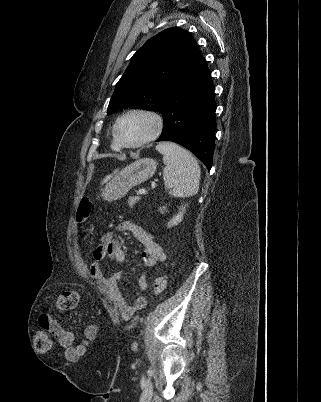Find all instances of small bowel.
<instances>
[{"label":"small bowel","mask_w":321,"mask_h":402,"mask_svg":"<svg viewBox=\"0 0 321 402\" xmlns=\"http://www.w3.org/2000/svg\"><path fill=\"white\" fill-rule=\"evenodd\" d=\"M118 230L130 232L143 245L144 249L141 253V262L146 269L165 260L166 256L162 247L145 229L132 222H123L118 226ZM97 256L98 259L92 263L90 271L95 278L103 280L104 273L101 266V260L109 258L115 262H122L125 257V252L119 239H117L113 233H109L103 237L97 251ZM121 278V273L115 272L106 282L110 297L114 305L117 307L121 318L128 321L137 311L145 308L146 300L141 294L148 289L149 283L146 274L140 276L136 286L138 296L135 297L132 303H128L123 298L120 291L119 283ZM39 325L56 337L64 348L67 359L74 360L76 358H85V344H75L71 330L55 320L51 314L43 312L39 316ZM97 334L98 327L90 323L87 325L86 330H83L82 332L83 341L94 339Z\"/></svg>","instance_id":"small-bowel-1"}]
</instances>
